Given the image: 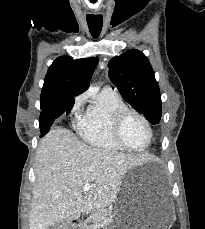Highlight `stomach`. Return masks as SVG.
Returning a JSON list of instances; mask_svg holds the SVG:
<instances>
[{"instance_id":"obj_1","label":"stomach","mask_w":205,"mask_h":229,"mask_svg":"<svg viewBox=\"0 0 205 229\" xmlns=\"http://www.w3.org/2000/svg\"><path fill=\"white\" fill-rule=\"evenodd\" d=\"M112 223L108 229H170L174 207L167 200L141 195L130 175L123 180Z\"/></svg>"}]
</instances>
